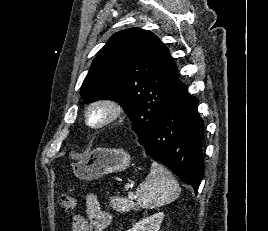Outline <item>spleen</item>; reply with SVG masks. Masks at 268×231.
Here are the masks:
<instances>
[{"label": "spleen", "instance_id": "spleen-1", "mask_svg": "<svg viewBox=\"0 0 268 231\" xmlns=\"http://www.w3.org/2000/svg\"><path fill=\"white\" fill-rule=\"evenodd\" d=\"M181 188L171 172L163 165L152 162L151 171L136 190L137 202L128 198L113 197L111 206L119 211L133 208L153 209L169 204L178 198Z\"/></svg>", "mask_w": 268, "mask_h": 231}]
</instances>
